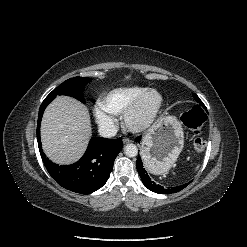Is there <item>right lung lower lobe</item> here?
Segmentation results:
<instances>
[{
  "label": "right lung lower lobe",
  "mask_w": 247,
  "mask_h": 247,
  "mask_svg": "<svg viewBox=\"0 0 247 247\" xmlns=\"http://www.w3.org/2000/svg\"><path fill=\"white\" fill-rule=\"evenodd\" d=\"M54 98L46 97L40 106L37 125V141L43 163L52 178L67 190L90 194L101 188L113 169L116 156L122 149V139L94 137L90 140L85 154L72 165L59 166L52 163L42 152L40 122L46 106Z\"/></svg>",
  "instance_id": "98d812e1"
}]
</instances>
